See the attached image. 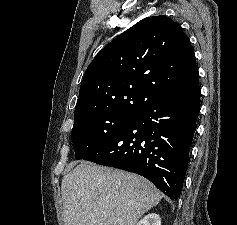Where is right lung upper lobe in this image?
I'll return each instance as SVG.
<instances>
[{
    "label": "right lung upper lobe",
    "mask_w": 237,
    "mask_h": 225,
    "mask_svg": "<svg viewBox=\"0 0 237 225\" xmlns=\"http://www.w3.org/2000/svg\"><path fill=\"white\" fill-rule=\"evenodd\" d=\"M195 53L181 26L147 17L104 47L80 86L74 122L100 114H136L161 96L198 85Z\"/></svg>",
    "instance_id": "obj_1"
}]
</instances>
